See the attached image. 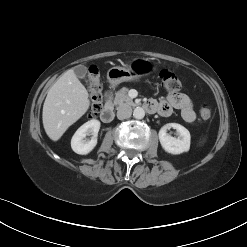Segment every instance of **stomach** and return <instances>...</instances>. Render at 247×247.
I'll use <instances>...</instances> for the list:
<instances>
[{
	"mask_svg": "<svg viewBox=\"0 0 247 247\" xmlns=\"http://www.w3.org/2000/svg\"><path fill=\"white\" fill-rule=\"evenodd\" d=\"M155 70V63L147 58H134L128 67H112L107 72V79L111 85L122 82L135 81Z\"/></svg>",
	"mask_w": 247,
	"mask_h": 247,
	"instance_id": "1",
	"label": "stomach"
}]
</instances>
